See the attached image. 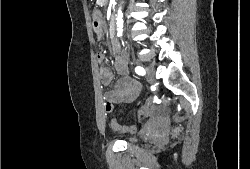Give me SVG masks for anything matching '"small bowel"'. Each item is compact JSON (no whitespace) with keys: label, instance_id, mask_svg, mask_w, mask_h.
<instances>
[{"label":"small bowel","instance_id":"obj_1","mask_svg":"<svg viewBox=\"0 0 250 169\" xmlns=\"http://www.w3.org/2000/svg\"><path fill=\"white\" fill-rule=\"evenodd\" d=\"M115 51L114 65L118 74L121 76L115 83L113 89L105 93V98H114V103L132 102L140 92V84L129 76L128 59L123 52H119L117 44H112ZM104 54H98V61L102 63ZM113 79L112 71L106 67H101V80L103 84L108 85Z\"/></svg>","mask_w":250,"mask_h":169}]
</instances>
